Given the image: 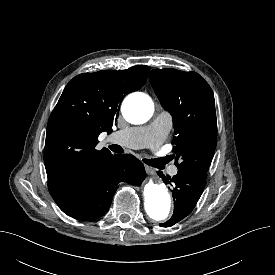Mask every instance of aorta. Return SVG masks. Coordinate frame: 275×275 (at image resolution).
Masks as SVG:
<instances>
[{
    "label": "aorta",
    "mask_w": 275,
    "mask_h": 275,
    "mask_svg": "<svg viewBox=\"0 0 275 275\" xmlns=\"http://www.w3.org/2000/svg\"><path fill=\"white\" fill-rule=\"evenodd\" d=\"M154 112L153 100L144 93H136L126 98L122 104V114L131 124L147 122ZM144 207L147 215L155 221L168 218L172 202L166 186L158 181L150 180L143 190Z\"/></svg>",
    "instance_id": "1"
}]
</instances>
